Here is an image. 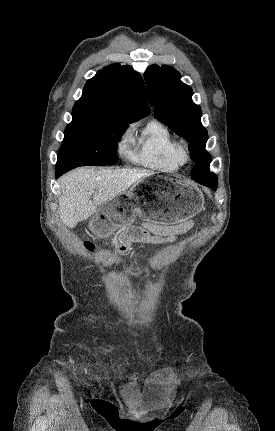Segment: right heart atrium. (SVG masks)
Masks as SVG:
<instances>
[{
    "label": "right heart atrium",
    "instance_id": "d8ad5b80",
    "mask_svg": "<svg viewBox=\"0 0 275 431\" xmlns=\"http://www.w3.org/2000/svg\"><path fill=\"white\" fill-rule=\"evenodd\" d=\"M131 141H132V136H131V133L128 131L123 135V137L120 140V144H119L120 149L123 151L126 150L129 144L131 143Z\"/></svg>",
    "mask_w": 275,
    "mask_h": 431
}]
</instances>
